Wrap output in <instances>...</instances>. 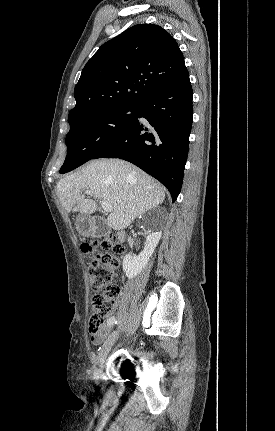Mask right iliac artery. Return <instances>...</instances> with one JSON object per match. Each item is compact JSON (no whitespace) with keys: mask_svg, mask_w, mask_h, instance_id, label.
Instances as JSON below:
<instances>
[{"mask_svg":"<svg viewBox=\"0 0 275 431\" xmlns=\"http://www.w3.org/2000/svg\"><path fill=\"white\" fill-rule=\"evenodd\" d=\"M116 323H117V320H116V318L113 316V317L109 318L107 325H108V327H109V328H112ZM114 332H115V331H114Z\"/></svg>","mask_w":275,"mask_h":431,"instance_id":"1","label":"right iliac artery"}]
</instances>
